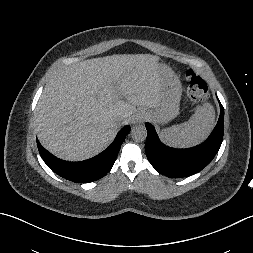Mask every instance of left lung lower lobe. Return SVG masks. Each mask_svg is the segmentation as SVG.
I'll return each instance as SVG.
<instances>
[{
	"instance_id": "left-lung-lower-lobe-1",
	"label": "left lung lower lobe",
	"mask_w": 253,
	"mask_h": 253,
	"mask_svg": "<svg viewBox=\"0 0 253 253\" xmlns=\"http://www.w3.org/2000/svg\"><path fill=\"white\" fill-rule=\"evenodd\" d=\"M220 117L210 136L199 146L189 149H174L160 142L154 127L146 123L147 139L145 152L152 166L171 178L190 176L200 172L218 152L224 133V108L220 103Z\"/></svg>"
}]
</instances>
